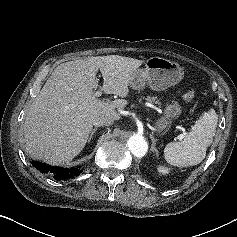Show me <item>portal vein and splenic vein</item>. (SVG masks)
<instances>
[{"instance_id": "1", "label": "portal vein and splenic vein", "mask_w": 237, "mask_h": 237, "mask_svg": "<svg viewBox=\"0 0 237 237\" xmlns=\"http://www.w3.org/2000/svg\"><path fill=\"white\" fill-rule=\"evenodd\" d=\"M96 97H100L101 96V91H97L95 94H94ZM184 137V134L180 135L179 138L182 139Z\"/></svg>"}]
</instances>
